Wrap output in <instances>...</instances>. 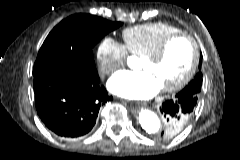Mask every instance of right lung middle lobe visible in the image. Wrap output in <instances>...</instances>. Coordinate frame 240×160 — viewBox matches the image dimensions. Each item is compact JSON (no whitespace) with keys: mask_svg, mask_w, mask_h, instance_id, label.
Segmentation results:
<instances>
[{"mask_svg":"<svg viewBox=\"0 0 240 160\" xmlns=\"http://www.w3.org/2000/svg\"><path fill=\"white\" fill-rule=\"evenodd\" d=\"M121 26L89 14H75L61 21L49 33L34 64L33 75L61 65L79 73L94 72L92 48L110 31Z\"/></svg>","mask_w":240,"mask_h":160,"instance_id":"right-lung-middle-lobe-1","label":"right lung middle lobe"}]
</instances>
